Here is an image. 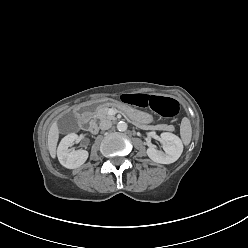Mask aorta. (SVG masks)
I'll return each mask as SVG.
<instances>
[{"instance_id":"obj_1","label":"aorta","mask_w":248,"mask_h":248,"mask_svg":"<svg viewBox=\"0 0 248 248\" xmlns=\"http://www.w3.org/2000/svg\"><path fill=\"white\" fill-rule=\"evenodd\" d=\"M127 127H128V125H127V123L126 122H124V121H120V122H118V124H117V129L119 130V131H126L127 130Z\"/></svg>"}]
</instances>
